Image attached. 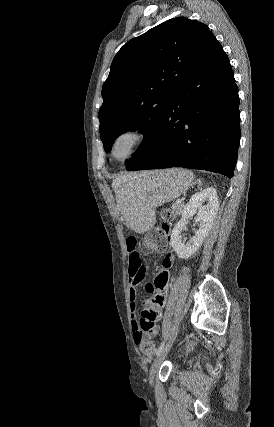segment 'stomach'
<instances>
[{"label":"stomach","mask_w":274,"mask_h":427,"mask_svg":"<svg viewBox=\"0 0 274 427\" xmlns=\"http://www.w3.org/2000/svg\"><path fill=\"white\" fill-rule=\"evenodd\" d=\"M193 180L192 172L182 168L143 172L140 178H132L128 184L120 208L123 217L133 215L135 231H148L155 223L156 208L182 196Z\"/></svg>","instance_id":"1"}]
</instances>
